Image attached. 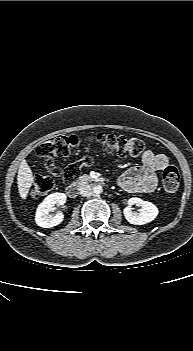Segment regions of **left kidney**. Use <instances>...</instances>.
Instances as JSON below:
<instances>
[{
    "label": "left kidney",
    "mask_w": 193,
    "mask_h": 351,
    "mask_svg": "<svg viewBox=\"0 0 193 351\" xmlns=\"http://www.w3.org/2000/svg\"><path fill=\"white\" fill-rule=\"evenodd\" d=\"M133 204H137L141 207L139 212L132 211L131 205ZM123 213L130 224L144 225L153 221L157 217L159 211L153 203L135 197L128 200V206L125 207Z\"/></svg>",
    "instance_id": "1"
}]
</instances>
